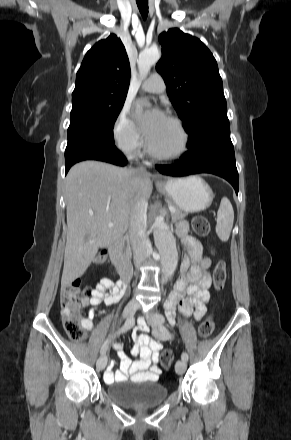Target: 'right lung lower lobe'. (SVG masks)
Masks as SVG:
<instances>
[{
  "instance_id": "1",
  "label": "right lung lower lobe",
  "mask_w": 291,
  "mask_h": 440,
  "mask_svg": "<svg viewBox=\"0 0 291 440\" xmlns=\"http://www.w3.org/2000/svg\"><path fill=\"white\" fill-rule=\"evenodd\" d=\"M83 160H99L119 166L127 164L114 143L85 137L69 139L65 150V174L72 165Z\"/></svg>"
}]
</instances>
